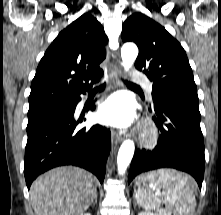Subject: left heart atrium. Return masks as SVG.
Instances as JSON below:
<instances>
[{"label": "left heart atrium", "mask_w": 221, "mask_h": 215, "mask_svg": "<svg viewBox=\"0 0 221 215\" xmlns=\"http://www.w3.org/2000/svg\"><path fill=\"white\" fill-rule=\"evenodd\" d=\"M101 123L125 128L134 121V109L131 101L124 95H114L100 105L97 112Z\"/></svg>", "instance_id": "39dd6f15"}]
</instances>
